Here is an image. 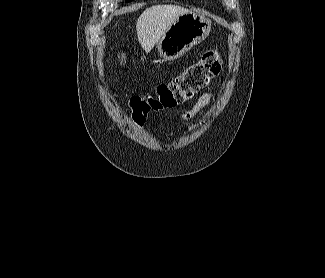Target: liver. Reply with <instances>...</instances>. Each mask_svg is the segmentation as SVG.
Instances as JSON below:
<instances>
[{
    "label": "liver",
    "instance_id": "liver-1",
    "mask_svg": "<svg viewBox=\"0 0 325 278\" xmlns=\"http://www.w3.org/2000/svg\"><path fill=\"white\" fill-rule=\"evenodd\" d=\"M191 12L177 5H156L147 8L138 18L136 31L138 40L149 53L166 33L172 23L181 15ZM125 59V54L121 55Z\"/></svg>",
    "mask_w": 325,
    "mask_h": 278
}]
</instances>
